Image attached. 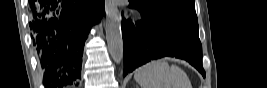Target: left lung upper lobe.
Wrapping results in <instances>:
<instances>
[{
	"label": "left lung upper lobe",
	"mask_w": 267,
	"mask_h": 88,
	"mask_svg": "<svg viewBox=\"0 0 267 88\" xmlns=\"http://www.w3.org/2000/svg\"><path fill=\"white\" fill-rule=\"evenodd\" d=\"M143 18L153 22H173L198 28L194 0H129Z\"/></svg>",
	"instance_id": "left-lung-upper-lobe-1"
}]
</instances>
